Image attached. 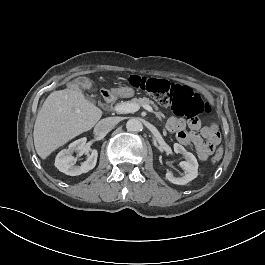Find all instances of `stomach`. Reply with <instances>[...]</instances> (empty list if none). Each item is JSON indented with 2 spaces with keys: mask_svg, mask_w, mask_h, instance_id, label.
I'll use <instances>...</instances> for the list:
<instances>
[{
  "mask_svg": "<svg viewBox=\"0 0 265 265\" xmlns=\"http://www.w3.org/2000/svg\"><path fill=\"white\" fill-rule=\"evenodd\" d=\"M120 92H121V95L125 97H132L135 94V90L128 86L121 88Z\"/></svg>",
  "mask_w": 265,
  "mask_h": 265,
  "instance_id": "obj_1",
  "label": "stomach"
}]
</instances>
